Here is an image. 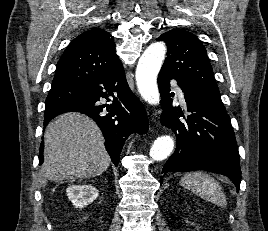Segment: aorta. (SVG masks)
Masks as SVG:
<instances>
[{
    "label": "aorta",
    "instance_id": "762f6f07",
    "mask_svg": "<svg viewBox=\"0 0 268 231\" xmlns=\"http://www.w3.org/2000/svg\"><path fill=\"white\" fill-rule=\"evenodd\" d=\"M165 54L164 43H153L141 55L136 68L138 91L141 97L151 105H157L160 101L157 75L165 59ZM173 148L174 140L171 136H160L150 149V157L155 161H162L171 154Z\"/></svg>",
    "mask_w": 268,
    "mask_h": 231
}]
</instances>
